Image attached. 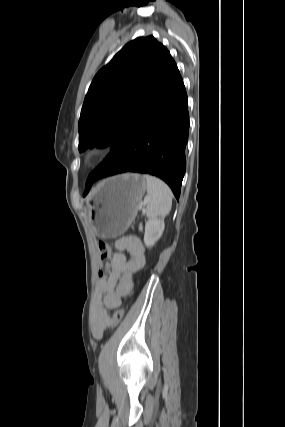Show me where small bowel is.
I'll use <instances>...</instances> for the list:
<instances>
[{"mask_svg":"<svg viewBox=\"0 0 285 427\" xmlns=\"http://www.w3.org/2000/svg\"><path fill=\"white\" fill-rule=\"evenodd\" d=\"M116 246L118 252L112 258L109 276L96 284L92 295V333L97 339L102 338L108 327L109 311L119 307L122 298L130 294L134 275L145 265V248L140 238L126 236Z\"/></svg>","mask_w":285,"mask_h":427,"instance_id":"small-bowel-1","label":"small bowel"}]
</instances>
